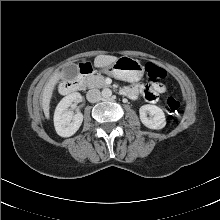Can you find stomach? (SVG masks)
I'll return each instance as SVG.
<instances>
[{"label": "stomach", "mask_w": 220, "mask_h": 220, "mask_svg": "<svg viewBox=\"0 0 220 220\" xmlns=\"http://www.w3.org/2000/svg\"><path fill=\"white\" fill-rule=\"evenodd\" d=\"M102 71L127 82H137L143 77L144 66L137 59L122 56Z\"/></svg>", "instance_id": "stomach-1"}]
</instances>
